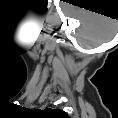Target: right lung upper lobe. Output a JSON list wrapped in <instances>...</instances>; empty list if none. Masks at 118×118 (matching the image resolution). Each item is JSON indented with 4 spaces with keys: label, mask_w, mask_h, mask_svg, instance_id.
<instances>
[{
    "label": "right lung upper lobe",
    "mask_w": 118,
    "mask_h": 118,
    "mask_svg": "<svg viewBox=\"0 0 118 118\" xmlns=\"http://www.w3.org/2000/svg\"><path fill=\"white\" fill-rule=\"evenodd\" d=\"M48 112L50 113H63L62 111H59V110H54V109H48Z\"/></svg>",
    "instance_id": "right-lung-upper-lobe-1"
}]
</instances>
